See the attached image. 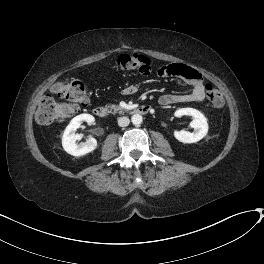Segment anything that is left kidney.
<instances>
[{"label":"left kidney","instance_id":"1","mask_svg":"<svg viewBox=\"0 0 264 264\" xmlns=\"http://www.w3.org/2000/svg\"><path fill=\"white\" fill-rule=\"evenodd\" d=\"M192 116L193 120L190 122V126L194 128V131H175V138L182 143H195L201 140L208 133V123L206 117L198 110L194 108H181L176 110L175 116Z\"/></svg>","mask_w":264,"mask_h":264}]
</instances>
